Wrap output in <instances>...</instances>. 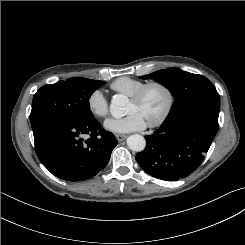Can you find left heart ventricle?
I'll return each instance as SVG.
<instances>
[{"mask_svg":"<svg viewBox=\"0 0 245 245\" xmlns=\"http://www.w3.org/2000/svg\"><path fill=\"white\" fill-rule=\"evenodd\" d=\"M166 95L159 88L150 89L142 101L133 102L129 100L126 113L136 112L146 123L156 119L164 110L166 105Z\"/></svg>","mask_w":245,"mask_h":245,"instance_id":"1","label":"left heart ventricle"}]
</instances>
